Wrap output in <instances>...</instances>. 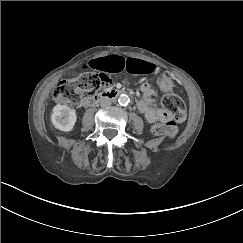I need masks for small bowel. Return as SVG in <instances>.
<instances>
[{
	"instance_id": "c3829d8e",
	"label": "small bowel",
	"mask_w": 243,
	"mask_h": 243,
	"mask_svg": "<svg viewBox=\"0 0 243 243\" xmlns=\"http://www.w3.org/2000/svg\"><path fill=\"white\" fill-rule=\"evenodd\" d=\"M87 70H98L109 73L129 72L132 74H150L155 71V66L145 60L110 55L91 60L83 65ZM143 98L138 103V109L142 112L146 120L150 123L164 121L168 118L167 114L153 106L155 94L148 84L141 86Z\"/></svg>"
}]
</instances>
